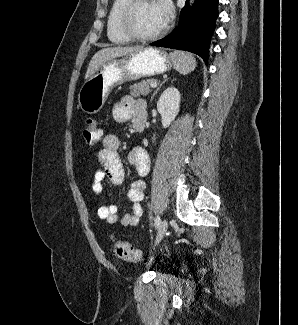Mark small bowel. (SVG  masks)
I'll return each instance as SVG.
<instances>
[{
    "label": "small bowel",
    "mask_w": 298,
    "mask_h": 325,
    "mask_svg": "<svg viewBox=\"0 0 298 325\" xmlns=\"http://www.w3.org/2000/svg\"><path fill=\"white\" fill-rule=\"evenodd\" d=\"M142 100H135L129 95L123 96L113 108V117L119 123H125L133 117L135 105ZM144 102V101H143ZM119 138L114 134H105L102 137V148L97 152L98 170L94 173L92 190L100 195L103 190L102 181L107 177L114 185L119 186L124 180V170L118 154ZM128 162L136 169L140 177H144L150 170L149 155L141 147H135L128 153ZM145 182L141 179L130 184L128 198L132 202V212L119 214L114 204L102 205L98 209V216L110 224L135 226L138 224L143 208L141 201L144 196Z\"/></svg>",
    "instance_id": "small-bowel-1"
}]
</instances>
